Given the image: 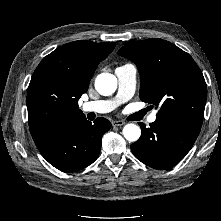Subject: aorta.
<instances>
[{
    "instance_id": "762f6f07",
    "label": "aorta",
    "mask_w": 221,
    "mask_h": 221,
    "mask_svg": "<svg viewBox=\"0 0 221 221\" xmlns=\"http://www.w3.org/2000/svg\"><path fill=\"white\" fill-rule=\"evenodd\" d=\"M117 88V79L113 74L101 73L96 77L95 89L103 96H109L115 92ZM123 135L130 142L137 141L141 136L139 126L130 123L124 126Z\"/></svg>"
}]
</instances>
